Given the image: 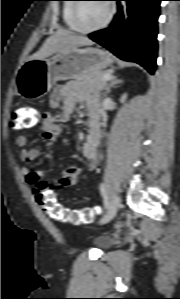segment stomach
<instances>
[{"mask_svg":"<svg viewBox=\"0 0 180 299\" xmlns=\"http://www.w3.org/2000/svg\"><path fill=\"white\" fill-rule=\"evenodd\" d=\"M112 63L108 52L93 47L65 49L48 59H29L17 72V92L24 99H39L59 80L79 79Z\"/></svg>","mask_w":180,"mask_h":299,"instance_id":"obj_1","label":"stomach"}]
</instances>
